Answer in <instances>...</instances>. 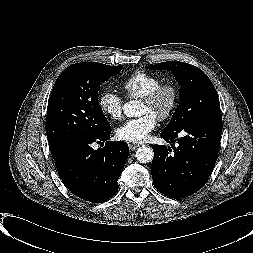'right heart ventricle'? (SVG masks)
Here are the masks:
<instances>
[{"instance_id": "right-heart-ventricle-1", "label": "right heart ventricle", "mask_w": 253, "mask_h": 253, "mask_svg": "<svg viewBox=\"0 0 253 253\" xmlns=\"http://www.w3.org/2000/svg\"><path fill=\"white\" fill-rule=\"evenodd\" d=\"M161 83L162 79L158 76L136 71L123 81L121 86L128 98H142Z\"/></svg>"}]
</instances>
